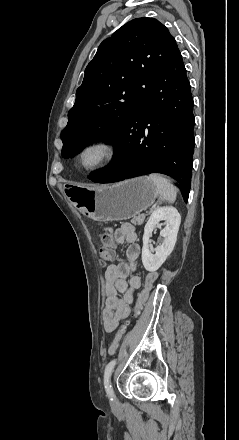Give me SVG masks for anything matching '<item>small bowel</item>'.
<instances>
[{"label":"small bowel","mask_w":239,"mask_h":440,"mask_svg":"<svg viewBox=\"0 0 239 440\" xmlns=\"http://www.w3.org/2000/svg\"><path fill=\"white\" fill-rule=\"evenodd\" d=\"M114 246L123 242L128 244L126 261L117 265H109L105 271V307L102 312L103 327L106 332L114 331L119 322L130 314V304L133 302L134 291L142 285L137 275H132L137 267L140 256V246L137 244V234L132 224L125 223L114 232ZM115 258L113 250L110 260ZM128 277H130L128 279Z\"/></svg>","instance_id":"obj_1"}]
</instances>
